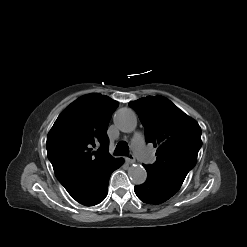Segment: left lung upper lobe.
Returning a JSON list of instances; mask_svg holds the SVG:
<instances>
[{"label":"left lung upper lobe","mask_w":247,"mask_h":247,"mask_svg":"<svg viewBox=\"0 0 247 247\" xmlns=\"http://www.w3.org/2000/svg\"><path fill=\"white\" fill-rule=\"evenodd\" d=\"M129 105L145 127L146 141L157 146L153 170L178 190L195 166L202 146L198 123L162 96H148Z\"/></svg>","instance_id":"obj_1"}]
</instances>
